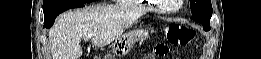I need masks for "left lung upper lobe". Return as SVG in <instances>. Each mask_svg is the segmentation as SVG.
Masks as SVG:
<instances>
[{
    "mask_svg": "<svg viewBox=\"0 0 261 59\" xmlns=\"http://www.w3.org/2000/svg\"><path fill=\"white\" fill-rule=\"evenodd\" d=\"M191 13L198 20L210 23L212 5L210 0H190Z\"/></svg>",
    "mask_w": 261,
    "mask_h": 59,
    "instance_id": "obj_1",
    "label": "left lung upper lobe"
}]
</instances>
